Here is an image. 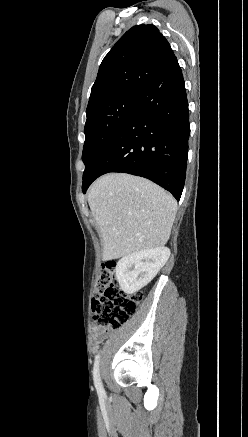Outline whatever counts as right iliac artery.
<instances>
[{"mask_svg": "<svg viewBox=\"0 0 248 437\" xmlns=\"http://www.w3.org/2000/svg\"><path fill=\"white\" fill-rule=\"evenodd\" d=\"M99 358H100V355L99 354L96 355L95 362H94V367H93V380H94V384H95L97 393L100 396H103L104 395V389H103L102 382H101V379H100V374H99Z\"/></svg>", "mask_w": 248, "mask_h": 437, "instance_id": "82829eb1", "label": "right iliac artery"}]
</instances>
